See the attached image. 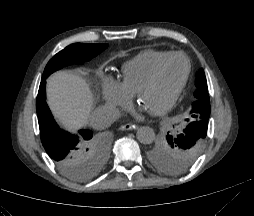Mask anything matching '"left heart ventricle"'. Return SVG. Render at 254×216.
Returning a JSON list of instances; mask_svg holds the SVG:
<instances>
[{
    "label": "left heart ventricle",
    "mask_w": 254,
    "mask_h": 216,
    "mask_svg": "<svg viewBox=\"0 0 254 216\" xmlns=\"http://www.w3.org/2000/svg\"><path fill=\"white\" fill-rule=\"evenodd\" d=\"M186 62L181 57H176L167 62L156 83L143 93L140 102L153 111L163 107L183 78Z\"/></svg>",
    "instance_id": "1"
}]
</instances>
